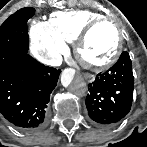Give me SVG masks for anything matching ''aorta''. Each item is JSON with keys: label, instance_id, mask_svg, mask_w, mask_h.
<instances>
[{"label": "aorta", "instance_id": "1", "mask_svg": "<svg viewBox=\"0 0 147 147\" xmlns=\"http://www.w3.org/2000/svg\"><path fill=\"white\" fill-rule=\"evenodd\" d=\"M64 84V82H63ZM86 84H79L74 87V93L78 96H82L86 93Z\"/></svg>", "mask_w": 147, "mask_h": 147}]
</instances>
